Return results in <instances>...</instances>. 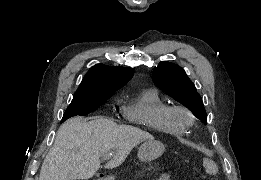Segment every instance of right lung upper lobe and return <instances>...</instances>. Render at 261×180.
Instances as JSON below:
<instances>
[{"instance_id":"right-lung-upper-lobe-1","label":"right lung upper lobe","mask_w":261,"mask_h":180,"mask_svg":"<svg viewBox=\"0 0 261 180\" xmlns=\"http://www.w3.org/2000/svg\"><path fill=\"white\" fill-rule=\"evenodd\" d=\"M134 75L131 68L96 64L83 78L76 94L112 95Z\"/></svg>"}]
</instances>
